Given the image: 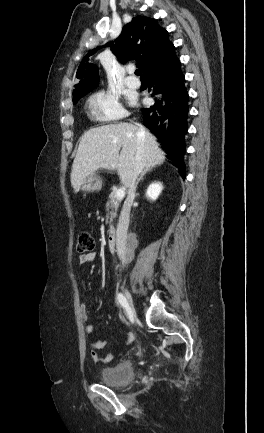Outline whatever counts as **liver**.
Wrapping results in <instances>:
<instances>
[{"label": "liver", "instance_id": "liver-1", "mask_svg": "<svg viewBox=\"0 0 264 433\" xmlns=\"http://www.w3.org/2000/svg\"><path fill=\"white\" fill-rule=\"evenodd\" d=\"M137 131L136 125L120 122L85 132L72 165L71 185L74 192H79L85 179L98 169L117 170L121 182L128 187L139 147ZM144 132L143 169L149 171L164 162L165 153L159 148L156 138L148 130L144 129Z\"/></svg>", "mask_w": 264, "mask_h": 433}]
</instances>
